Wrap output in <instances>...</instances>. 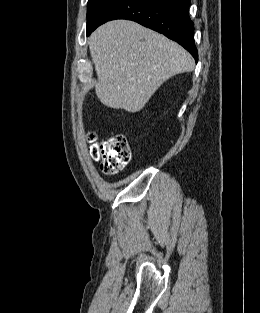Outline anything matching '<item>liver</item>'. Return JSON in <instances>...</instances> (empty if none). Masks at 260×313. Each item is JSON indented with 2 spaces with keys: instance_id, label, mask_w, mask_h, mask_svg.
<instances>
[{
  "instance_id": "6515ba94",
  "label": "liver",
  "mask_w": 260,
  "mask_h": 313,
  "mask_svg": "<svg viewBox=\"0 0 260 313\" xmlns=\"http://www.w3.org/2000/svg\"><path fill=\"white\" fill-rule=\"evenodd\" d=\"M90 54L102 104L135 113L160 85L194 68L192 56L179 44L128 20H114L89 37Z\"/></svg>"
}]
</instances>
